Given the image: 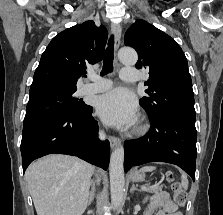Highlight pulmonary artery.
<instances>
[{
  "instance_id": "pulmonary-artery-1",
  "label": "pulmonary artery",
  "mask_w": 223,
  "mask_h": 215,
  "mask_svg": "<svg viewBox=\"0 0 223 215\" xmlns=\"http://www.w3.org/2000/svg\"><path fill=\"white\" fill-rule=\"evenodd\" d=\"M137 74H141V69H133V65H124V69H121L120 78L128 83H135ZM90 83L86 84L82 92L84 94H95L106 91L113 86V82L110 79L99 78L95 75L89 76Z\"/></svg>"
}]
</instances>
